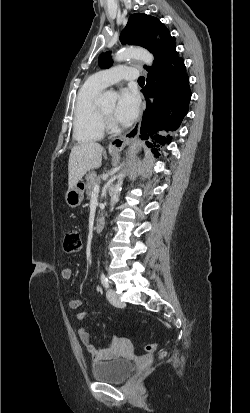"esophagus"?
<instances>
[{"label":"esophagus","instance_id":"1","mask_svg":"<svg viewBox=\"0 0 250 413\" xmlns=\"http://www.w3.org/2000/svg\"><path fill=\"white\" fill-rule=\"evenodd\" d=\"M145 104L142 106V113L144 111ZM142 113L137 122L134 124L131 130H129L127 133H125L122 137L113 139L110 144L108 145V150L109 152L112 153H119L121 152L124 147L129 144L133 139H135L139 133L140 130V125H141V119H142Z\"/></svg>","mask_w":250,"mask_h":413}]
</instances>
